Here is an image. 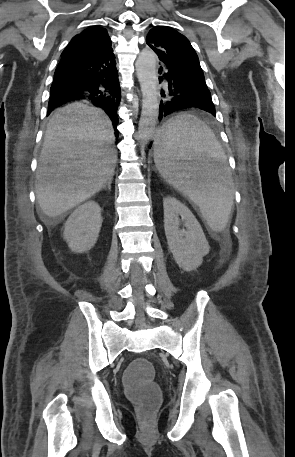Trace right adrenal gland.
I'll return each mask as SVG.
<instances>
[{"mask_svg":"<svg viewBox=\"0 0 295 457\" xmlns=\"http://www.w3.org/2000/svg\"><path fill=\"white\" fill-rule=\"evenodd\" d=\"M111 183L112 180L108 181L107 184L104 186V189H108L109 191H111Z\"/></svg>","mask_w":295,"mask_h":457,"instance_id":"right-adrenal-gland-1","label":"right adrenal gland"}]
</instances>
